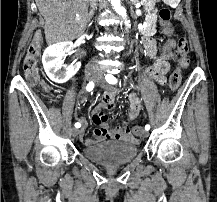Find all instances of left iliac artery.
<instances>
[{"label":"left iliac artery","mask_w":217,"mask_h":202,"mask_svg":"<svg viewBox=\"0 0 217 202\" xmlns=\"http://www.w3.org/2000/svg\"><path fill=\"white\" fill-rule=\"evenodd\" d=\"M105 79H106V81L109 83V84H115V83H117V79L114 77V76H112V75H106V77H105ZM150 129V125H146L145 126V130H149Z\"/></svg>","instance_id":"44dca946"}]
</instances>
